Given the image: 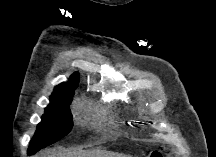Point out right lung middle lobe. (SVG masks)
<instances>
[{
  "label": "right lung middle lobe",
  "instance_id": "dd1d6c3e",
  "mask_svg": "<svg viewBox=\"0 0 216 157\" xmlns=\"http://www.w3.org/2000/svg\"><path fill=\"white\" fill-rule=\"evenodd\" d=\"M73 94L74 92L50 98V104L45 109L27 150L28 155L57 142L71 131L73 121L69 105Z\"/></svg>",
  "mask_w": 216,
  "mask_h": 157
}]
</instances>
